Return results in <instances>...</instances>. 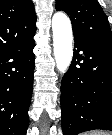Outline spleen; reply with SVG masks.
<instances>
[{"label": "spleen", "mask_w": 112, "mask_h": 135, "mask_svg": "<svg viewBox=\"0 0 112 135\" xmlns=\"http://www.w3.org/2000/svg\"><path fill=\"white\" fill-rule=\"evenodd\" d=\"M84 135H110V134L104 131H92L89 133H85Z\"/></svg>", "instance_id": "1"}]
</instances>
